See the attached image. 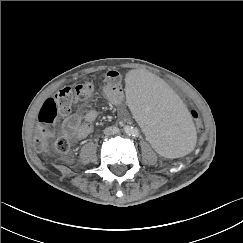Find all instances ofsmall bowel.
Listing matches in <instances>:
<instances>
[{
    "label": "small bowel",
    "mask_w": 243,
    "mask_h": 243,
    "mask_svg": "<svg viewBox=\"0 0 243 243\" xmlns=\"http://www.w3.org/2000/svg\"><path fill=\"white\" fill-rule=\"evenodd\" d=\"M107 86L105 95L115 106L121 107L124 100V93L121 87V76L116 70H109L106 74ZM125 115L123 109L120 110ZM97 117L95 109L89 110L84 116L79 113L67 115L62 124V132L72 140H81L87 137L92 129V123Z\"/></svg>",
    "instance_id": "c3829d8e"
}]
</instances>
